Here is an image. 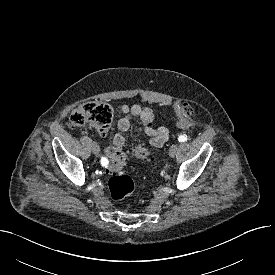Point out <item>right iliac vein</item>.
Returning <instances> with one entry per match:
<instances>
[{
    "label": "right iliac vein",
    "instance_id": "right-iliac-vein-1",
    "mask_svg": "<svg viewBox=\"0 0 275 275\" xmlns=\"http://www.w3.org/2000/svg\"><path fill=\"white\" fill-rule=\"evenodd\" d=\"M99 151H100V148H99V145L94 142L92 144V152L95 154V155H98L99 154Z\"/></svg>",
    "mask_w": 275,
    "mask_h": 275
}]
</instances>
